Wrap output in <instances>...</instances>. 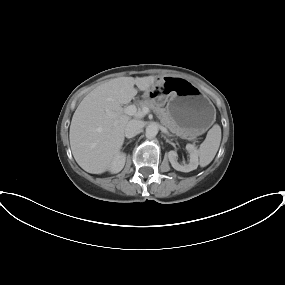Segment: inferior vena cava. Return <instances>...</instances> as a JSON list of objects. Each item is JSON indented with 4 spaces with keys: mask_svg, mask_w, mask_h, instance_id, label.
Instances as JSON below:
<instances>
[{
    "mask_svg": "<svg viewBox=\"0 0 285 285\" xmlns=\"http://www.w3.org/2000/svg\"><path fill=\"white\" fill-rule=\"evenodd\" d=\"M143 122L140 120H130L125 127V136L127 138L135 137L142 131Z\"/></svg>",
    "mask_w": 285,
    "mask_h": 285,
    "instance_id": "inferior-vena-cava-1",
    "label": "inferior vena cava"
}]
</instances>
